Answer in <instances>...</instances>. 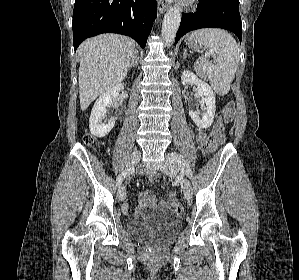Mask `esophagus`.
Listing matches in <instances>:
<instances>
[{
  "label": "esophagus",
  "instance_id": "esophagus-1",
  "mask_svg": "<svg viewBox=\"0 0 299 280\" xmlns=\"http://www.w3.org/2000/svg\"><path fill=\"white\" fill-rule=\"evenodd\" d=\"M168 8L167 4L164 3L162 0H158V11L159 13H164Z\"/></svg>",
  "mask_w": 299,
  "mask_h": 280
}]
</instances>
